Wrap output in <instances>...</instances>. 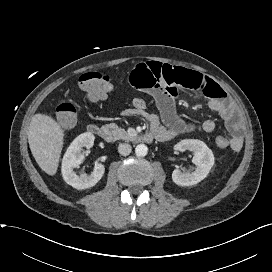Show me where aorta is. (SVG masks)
<instances>
[{
  "mask_svg": "<svg viewBox=\"0 0 272 272\" xmlns=\"http://www.w3.org/2000/svg\"><path fill=\"white\" fill-rule=\"evenodd\" d=\"M135 153L137 156H141V157L146 156L148 153V148L144 144H139L135 148Z\"/></svg>",
  "mask_w": 272,
  "mask_h": 272,
  "instance_id": "1",
  "label": "aorta"
}]
</instances>
